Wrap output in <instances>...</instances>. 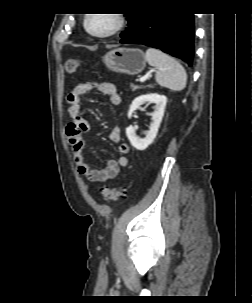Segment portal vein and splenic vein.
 <instances>
[{"label":"portal vein and splenic vein","mask_w":252,"mask_h":303,"mask_svg":"<svg viewBox=\"0 0 252 303\" xmlns=\"http://www.w3.org/2000/svg\"><path fill=\"white\" fill-rule=\"evenodd\" d=\"M151 72H152V71H151ZM150 76H151V74L148 73V74H146L145 76L140 77L139 82H144V81H146V79H148Z\"/></svg>","instance_id":"18ae733b"}]
</instances>
